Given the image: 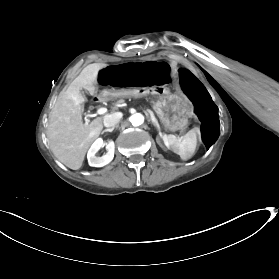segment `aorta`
Masks as SVG:
<instances>
[{"instance_id": "1", "label": "aorta", "mask_w": 279, "mask_h": 279, "mask_svg": "<svg viewBox=\"0 0 279 279\" xmlns=\"http://www.w3.org/2000/svg\"><path fill=\"white\" fill-rule=\"evenodd\" d=\"M130 122L133 126H139L144 122V117L140 113L133 114L130 117Z\"/></svg>"}]
</instances>
